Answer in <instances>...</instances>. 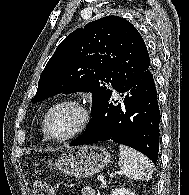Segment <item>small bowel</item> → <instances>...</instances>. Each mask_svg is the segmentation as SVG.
<instances>
[{"label": "small bowel", "instance_id": "small-bowel-1", "mask_svg": "<svg viewBox=\"0 0 189 195\" xmlns=\"http://www.w3.org/2000/svg\"><path fill=\"white\" fill-rule=\"evenodd\" d=\"M82 195H96L95 190L92 187H85L82 190Z\"/></svg>", "mask_w": 189, "mask_h": 195}]
</instances>
